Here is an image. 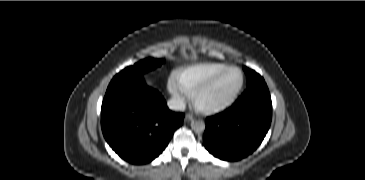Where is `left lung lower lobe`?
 <instances>
[{"label": "left lung lower lobe", "mask_w": 365, "mask_h": 180, "mask_svg": "<svg viewBox=\"0 0 365 180\" xmlns=\"http://www.w3.org/2000/svg\"><path fill=\"white\" fill-rule=\"evenodd\" d=\"M272 119V102L265 82L248 87L227 110L206 119L203 142L222 160L251 154L264 139Z\"/></svg>", "instance_id": "obj_1"}]
</instances>
